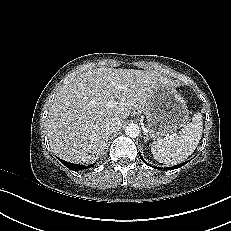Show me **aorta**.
Returning a JSON list of instances; mask_svg holds the SVG:
<instances>
[{"label": "aorta", "mask_w": 231, "mask_h": 231, "mask_svg": "<svg viewBox=\"0 0 231 231\" xmlns=\"http://www.w3.org/2000/svg\"><path fill=\"white\" fill-rule=\"evenodd\" d=\"M140 128L137 124H128L125 128V134L130 138H136L139 136Z\"/></svg>", "instance_id": "1"}]
</instances>
